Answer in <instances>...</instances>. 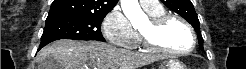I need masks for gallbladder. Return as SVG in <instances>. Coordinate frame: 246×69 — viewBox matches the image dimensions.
I'll list each match as a JSON object with an SVG mask.
<instances>
[{
  "instance_id": "bac80fb5",
  "label": "gallbladder",
  "mask_w": 246,
  "mask_h": 69,
  "mask_svg": "<svg viewBox=\"0 0 246 69\" xmlns=\"http://www.w3.org/2000/svg\"><path fill=\"white\" fill-rule=\"evenodd\" d=\"M39 69H62V67L54 61L52 57H47L44 61V65L38 67Z\"/></svg>"
}]
</instances>
